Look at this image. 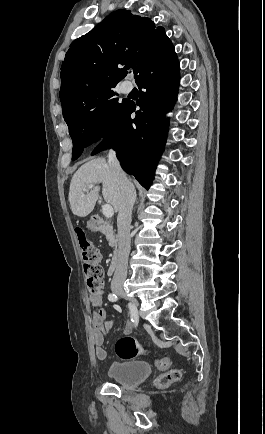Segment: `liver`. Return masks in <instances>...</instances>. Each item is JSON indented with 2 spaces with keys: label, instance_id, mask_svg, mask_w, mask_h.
Returning <instances> with one entry per match:
<instances>
[{
  "label": "liver",
  "instance_id": "obj_1",
  "mask_svg": "<svg viewBox=\"0 0 265 434\" xmlns=\"http://www.w3.org/2000/svg\"><path fill=\"white\" fill-rule=\"evenodd\" d=\"M102 184V194L105 202L113 206L115 212L120 208V188L115 176V170L107 164L104 158H96L87 164H83L75 172L69 190V202L72 214L85 218L88 216L98 200L100 186ZM87 186H95L90 192H83Z\"/></svg>",
  "mask_w": 265,
  "mask_h": 434
}]
</instances>
